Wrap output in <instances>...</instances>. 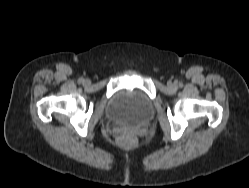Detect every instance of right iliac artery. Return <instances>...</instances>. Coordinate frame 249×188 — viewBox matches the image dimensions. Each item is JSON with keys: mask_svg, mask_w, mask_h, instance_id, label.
<instances>
[{"mask_svg": "<svg viewBox=\"0 0 249 188\" xmlns=\"http://www.w3.org/2000/svg\"><path fill=\"white\" fill-rule=\"evenodd\" d=\"M78 82H79V83H83V82H84V79H83V78H79Z\"/></svg>", "mask_w": 249, "mask_h": 188, "instance_id": "right-iliac-artery-1", "label": "right iliac artery"}]
</instances>
